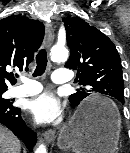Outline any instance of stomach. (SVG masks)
<instances>
[{"instance_id":"stomach-1","label":"stomach","mask_w":130,"mask_h":153,"mask_svg":"<svg viewBox=\"0 0 130 153\" xmlns=\"http://www.w3.org/2000/svg\"><path fill=\"white\" fill-rule=\"evenodd\" d=\"M86 101L61 129L58 146L75 153H114L121 129V117L115 104L96 97ZM86 108L95 109L89 118L82 116Z\"/></svg>"}]
</instances>
